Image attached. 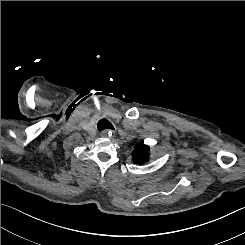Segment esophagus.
Here are the masks:
<instances>
[{
  "label": "esophagus",
  "instance_id": "34e87169",
  "mask_svg": "<svg viewBox=\"0 0 245 245\" xmlns=\"http://www.w3.org/2000/svg\"><path fill=\"white\" fill-rule=\"evenodd\" d=\"M112 132H114V130H104L101 132V136L102 137H107L108 134H111Z\"/></svg>",
  "mask_w": 245,
  "mask_h": 245
}]
</instances>
